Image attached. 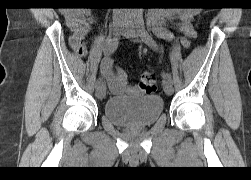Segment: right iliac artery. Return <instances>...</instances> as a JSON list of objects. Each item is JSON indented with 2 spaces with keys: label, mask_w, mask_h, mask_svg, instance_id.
<instances>
[{
  "label": "right iliac artery",
  "mask_w": 251,
  "mask_h": 180,
  "mask_svg": "<svg viewBox=\"0 0 251 180\" xmlns=\"http://www.w3.org/2000/svg\"><path fill=\"white\" fill-rule=\"evenodd\" d=\"M135 16H136L135 13H130L128 15L129 22H131L135 18ZM118 44H119V38H112L107 41L106 47H105V52H106L107 57H109L112 53H114V51H116ZM100 84H101V79L99 78L96 81L95 86L98 87Z\"/></svg>",
  "instance_id": "82829eb1"
}]
</instances>
